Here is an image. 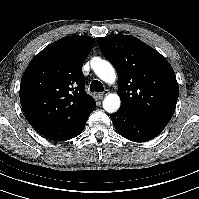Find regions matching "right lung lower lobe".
Masks as SVG:
<instances>
[{
  "label": "right lung lower lobe",
  "instance_id": "obj_1",
  "mask_svg": "<svg viewBox=\"0 0 199 199\" xmlns=\"http://www.w3.org/2000/svg\"><path fill=\"white\" fill-rule=\"evenodd\" d=\"M85 124H83L76 132L69 134V135H67L59 140H55V141H66V140H69V139H72V138L78 136L83 131Z\"/></svg>",
  "mask_w": 199,
  "mask_h": 199
}]
</instances>
